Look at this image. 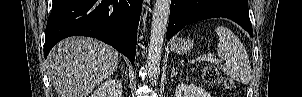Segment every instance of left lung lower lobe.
<instances>
[{"label":"left lung lower lobe","mask_w":302,"mask_h":97,"mask_svg":"<svg viewBox=\"0 0 302 97\" xmlns=\"http://www.w3.org/2000/svg\"><path fill=\"white\" fill-rule=\"evenodd\" d=\"M214 17L235 21L253 37L248 0H172L166 38L188 24Z\"/></svg>","instance_id":"obj_1"}]
</instances>
